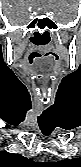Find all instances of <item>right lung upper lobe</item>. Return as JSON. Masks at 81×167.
Returning <instances> with one entry per match:
<instances>
[{
    "label": "right lung upper lobe",
    "instance_id": "cb5924a9",
    "mask_svg": "<svg viewBox=\"0 0 81 167\" xmlns=\"http://www.w3.org/2000/svg\"><path fill=\"white\" fill-rule=\"evenodd\" d=\"M38 164L20 154L0 152V167H36Z\"/></svg>",
    "mask_w": 81,
    "mask_h": 167
}]
</instances>
